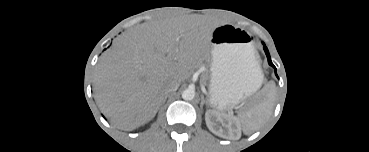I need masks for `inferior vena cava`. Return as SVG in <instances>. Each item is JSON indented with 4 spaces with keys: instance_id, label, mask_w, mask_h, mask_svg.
Here are the masks:
<instances>
[{
    "instance_id": "inferior-vena-cava-1",
    "label": "inferior vena cava",
    "mask_w": 369,
    "mask_h": 152,
    "mask_svg": "<svg viewBox=\"0 0 369 152\" xmlns=\"http://www.w3.org/2000/svg\"><path fill=\"white\" fill-rule=\"evenodd\" d=\"M180 83L174 80H170L165 85V94L176 91L179 87Z\"/></svg>"
}]
</instances>
